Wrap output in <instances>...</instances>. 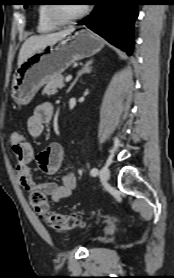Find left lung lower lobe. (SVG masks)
<instances>
[{"label":"left lung lower lobe","instance_id":"left-lung-lower-lobe-1","mask_svg":"<svg viewBox=\"0 0 174 278\" xmlns=\"http://www.w3.org/2000/svg\"><path fill=\"white\" fill-rule=\"evenodd\" d=\"M95 8L78 22L105 38L114 46L132 53L134 21L139 0H95Z\"/></svg>","mask_w":174,"mask_h":278}]
</instances>
